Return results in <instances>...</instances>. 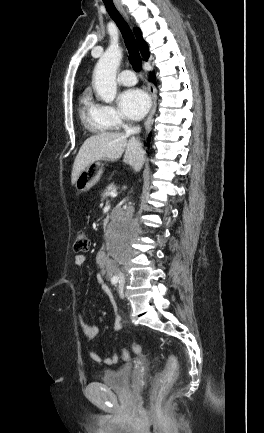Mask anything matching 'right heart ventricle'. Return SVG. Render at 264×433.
Segmentation results:
<instances>
[{"instance_id":"e07e8e85","label":"right heart ventricle","mask_w":264,"mask_h":433,"mask_svg":"<svg viewBox=\"0 0 264 433\" xmlns=\"http://www.w3.org/2000/svg\"><path fill=\"white\" fill-rule=\"evenodd\" d=\"M80 116L84 126L92 133H105L110 129V126L102 120L97 104L92 101L88 94L81 97Z\"/></svg>"}]
</instances>
